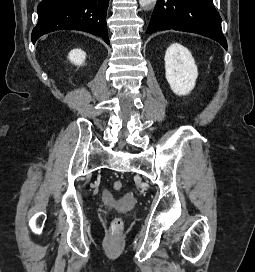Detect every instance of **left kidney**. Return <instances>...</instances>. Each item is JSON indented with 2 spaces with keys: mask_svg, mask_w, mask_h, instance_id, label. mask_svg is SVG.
I'll return each instance as SVG.
<instances>
[{
  "mask_svg": "<svg viewBox=\"0 0 255 272\" xmlns=\"http://www.w3.org/2000/svg\"><path fill=\"white\" fill-rule=\"evenodd\" d=\"M165 73L171 90L178 96L194 88L198 70L190 51L179 43L171 44L165 53Z\"/></svg>",
  "mask_w": 255,
  "mask_h": 272,
  "instance_id": "5707ae66",
  "label": "left kidney"
}]
</instances>
